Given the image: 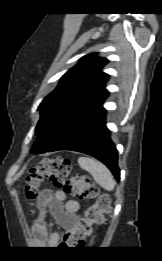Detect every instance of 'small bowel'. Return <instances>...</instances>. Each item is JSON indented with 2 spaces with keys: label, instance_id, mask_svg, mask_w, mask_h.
<instances>
[{
  "label": "small bowel",
  "instance_id": "1",
  "mask_svg": "<svg viewBox=\"0 0 162 261\" xmlns=\"http://www.w3.org/2000/svg\"><path fill=\"white\" fill-rule=\"evenodd\" d=\"M39 216L33 225V233L36 241L44 236L46 232V219L50 214L65 230L69 236L75 227L76 216L80 210L78 201L69 199L68 195L63 190L50 192L44 190L39 198L38 203ZM60 236L58 233H52L45 239L47 247H57L59 245Z\"/></svg>",
  "mask_w": 162,
  "mask_h": 261
}]
</instances>
